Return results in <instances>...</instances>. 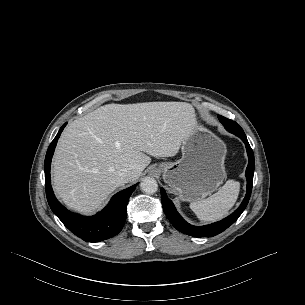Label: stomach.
<instances>
[{"instance_id":"1","label":"stomach","mask_w":305,"mask_h":305,"mask_svg":"<svg viewBox=\"0 0 305 305\" xmlns=\"http://www.w3.org/2000/svg\"><path fill=\"white\" fill-rule=\"evenodd\" d=\"M182 157L163 162L158 170L171 191L183 201H199L222 184L226 172V145L211 131L197 124L181 145Z\"/></svg>"}]
</instances>
